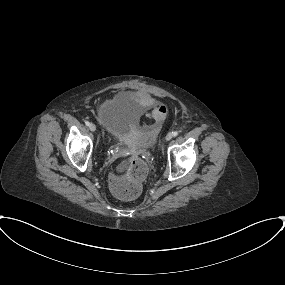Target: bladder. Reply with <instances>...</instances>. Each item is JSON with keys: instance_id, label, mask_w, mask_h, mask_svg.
<instances>
[{"instance_id": "1", "label": "bladder", "mask_w": 285, "mask_h": 285, "mask_svg": "<svg viewBox=\"0 0 285 285\" xmlns=\"http://www.w3.org/2000/svg\"><path fill=\"white\" fill-rule=\"evenodd\" d=\"M135 94L124 92L121 93L112 103L111 106H115L118 102H131L134 100ZM130 142L132 146L146 148L152 146L156 140V132L153 127L143 129L137 126L132 132H130Z\"/></svg>"}]
</instances>
